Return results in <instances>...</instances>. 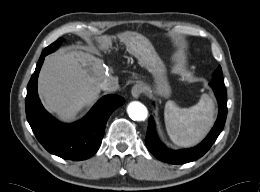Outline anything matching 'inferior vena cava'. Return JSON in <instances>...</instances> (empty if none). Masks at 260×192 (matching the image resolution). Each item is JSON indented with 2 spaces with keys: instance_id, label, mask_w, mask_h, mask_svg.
I'll return each mask as SVG.
<instances>
[{
  "instance_id": "obj_1",
  "label": "inferior vena cava",
  "mask_w": 260,
  "mask_h": 192,
  "mask_svg": "<svg viewBox=\"0 0 260 192\" xmlns=\"http://www.w3.org/2000/svg\"><path fill=\"white\" fill-rule=\"evenodd\" d=\"M100 87L104 91L115 92L119 89V83L117 77H111L106 79L100 84Z\"/></svg>"
}]
</instances>
